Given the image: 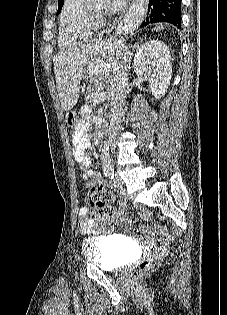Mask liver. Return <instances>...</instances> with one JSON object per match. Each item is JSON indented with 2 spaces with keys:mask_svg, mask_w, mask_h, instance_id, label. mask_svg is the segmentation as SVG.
Listing matches in <instances>:
<instances>
[{
  "mask_svg": "<svg viewBox=\"0 0 227 315\" xmlns=\"http://www.w3.org/2000/svg\"><path fill=\"white\" fill-rule=\"evenodd\" d=\"M159 24L153 30H164ZM126 49V50H125ZM128 48L120 40H95L58 53L53 58L54 73L61 107L70 111L77 103L80 83L87 71L91 74L109 75L122 53ZM127 56V64H130ZM130 67V66H129Z\"/></svg>",
  "mask_w": 227,
  "mask_h": 315,
  "instance_id": "1",
  "label": "liver"
}]
</instances>
